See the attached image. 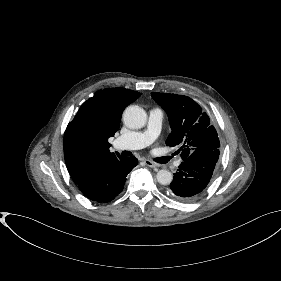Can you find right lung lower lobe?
<instances>
[{"label":"right lung lower lobe","mask_w":281,"mask_h":281,"mask_svg":"<svg viewBox=\"0 0 281 281\" xmlns=\"http://www.w3.org/2000/svg\"><path fill=\"white\" fill-rule=\"evenodd\" d=\"M137 164L135 157L116 155L108 158L78 183V188L92 201H112L123 190L126 176Z\"/></svg>","instance_id":"obj_1"}]
</instances>
